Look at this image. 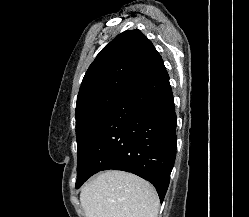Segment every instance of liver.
I'll list each match as a JSON object with an SVG mask.
<instances>
[{"label":"liver","instance_id":"1","mask_svg":"<svg viewBox=\"0 0 249 217\" xmlns=\"http://www.w3.org/2000/svg\"><path fill=\"white\" fill-rule=\"evenodd\" d=\"M86 217H158L159 197L147 181L118 170L94 177L80 193Z\"/></svg>","mask_w":249,"mask_h":217}]
</instances>
